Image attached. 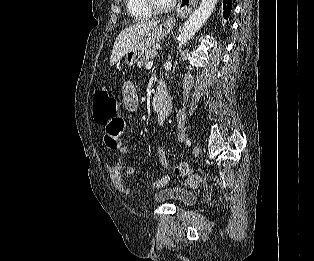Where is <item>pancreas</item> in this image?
<instances>
[{"label": "pancreas", "mask_w": 314, "mask_h": 261, "mask_svg": "<svg viewBox=\"0 0 314 261\" xmlns=\"http://www.w3.org/2000/svg\"><path fill=\"white\" fill-rule=\"evenodd\" d=\"M156 55L157 49L155 48V46H153L143 54L142 58L138 62V67H142L143 65H145L149 59H154Z\"/></svg>", "instance_id": "cf45deb5"}]
</instances>
